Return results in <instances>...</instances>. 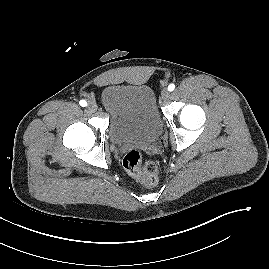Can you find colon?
<instances>
[{
	"label": "colon",
	"mask_w": 269,
	"mask_h": 269,
	"mask_svg": "<svg viewBox=\"0 0 269 269\" xmlns=\"http://www.w3.org/2000/svg\"><path fill=\"white\" fill-rule=\"evenodd\" d=\"M124 169L133 177L140 179L145 185L152 186L158 177V165L153 160H143L138 150L129 151L122 161Z\"/></svg>",
	"instance_id": "obj_1"
}]
</instances>
